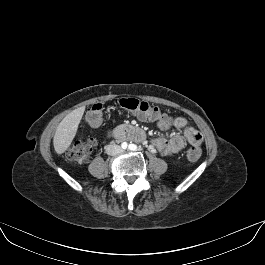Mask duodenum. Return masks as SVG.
I'll list each match as a JSON object with an SVG mask.
<instances>
[{
    "label": "duodenum",
    "instance_id": "obj_1",
    "mask_svg": "<svg viewBox=\"0 0 265 265\" xmlns=\"http://www.w3.org/2000/svg\"><path fill=\"white\" fill-rule=\"evenodd\" d=\"M110 136L120 141H143V131L138 127H117L109 132Z\"/></svg>",
    "mask_w": 265,
    "mask_h": 265
}]
</instances>
